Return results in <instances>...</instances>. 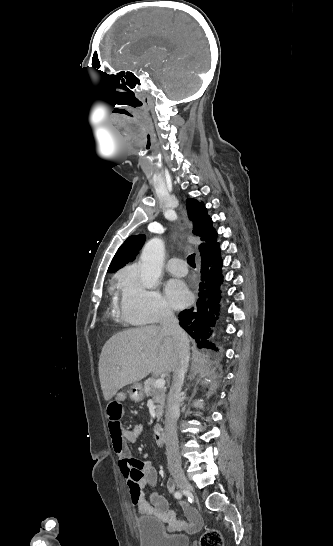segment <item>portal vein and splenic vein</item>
<instances>
[{"mask_svg":"<svg viewBox=\"0 0 333 546\" xmlns=\"http://www.w3.org/2000/svg\"><path fill=\"white\" fill-rule=\"evenodd\" d=\"M165 379L164 378H158L154 382V386L156 388H163L165 386Z\"/></svg>","mask_w":333,"mask_h":546,"instance_id":"obj_1","label":"portal vein and splenic vein"}]
</instances>
